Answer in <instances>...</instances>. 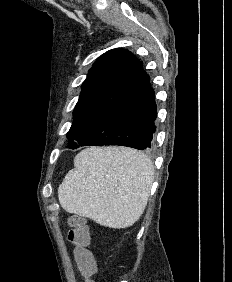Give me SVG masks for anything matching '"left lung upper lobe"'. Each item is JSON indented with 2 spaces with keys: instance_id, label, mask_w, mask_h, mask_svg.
<instances>
[{
  "instance_id": "5c2ea615",
  "label": "left lung upper lobe",
  "mask_w": 232,
  "mask_h": 282,
  "mask_svg": "<svg viewBox=\"0 0 232 282\" xmlns=\"http://www.w3.org/2000/svg\"><path fill=\"white\" fill-rule=\"evenodd\" d=\"M139 62L125 49L107 51L96 60L82 84V92L73 111L74 122L67 134L69 147L89 139L100 112Z\"/></svg>"
}]
</instances>
